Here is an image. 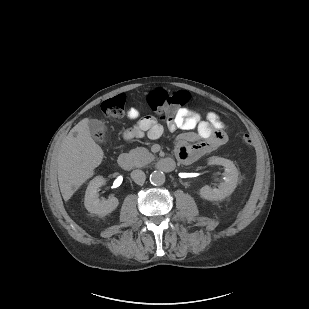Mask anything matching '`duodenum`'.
I'll list each match as a JSON object with an SVG mask.
<instances>
[{
    "label": "duodenum",
    "mask_w": 309,
    "mask_h": 309,
    "mask_svg": "<svg viewBox=\"0 0 309 309\" xmlns=\"http://www.w3.org/2000/svg\"><path fill=\"white\" fill-rule=\"evenodd\" d=\"M117 162H118V165L124 170H130L133 168V160L126 153L120 154L118 156ZM156 166L160 171L171 172L175 167V163L172 159L165 158V159L159 160Z\"/></svg>",
    "instance_id": "duodenum-1"
}]
</instances>
